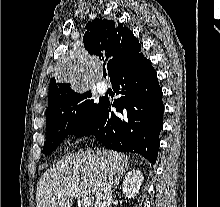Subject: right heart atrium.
<instances>
[{
    "label": "right heart atrium",
    "mask_w": 220,
    "mask_h": 207,
    "mask_svg": "<svg viewBox=\"0 0 220 207\" xmlns=\"http://www.w3.org/2000/svg\"><path fill=\"white\" fill-rule=\"evenodd\" d=\"M70 137H71V139H75L76 138V131L72 132Z\"/></svg>",
    "instance_id": "d8ad5b80"
}]
</instances>
